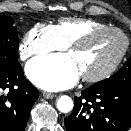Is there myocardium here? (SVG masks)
<instances>
[{
    "label": "myocardium",
    "instance_id": "f54148a6",
    "mask_svg": "<svg viewBox=\"0 0 131 131\" xmlns=\"http://www.w3.org/2000/svg\"><path fill=\"white\" fill-rule=\"evenodd\" d=\"M107 32H113V33L120 34L124 39V46H123L122 50L120 51V53L118 54V56L114 59V61L109 66H107L104 70H102L96 74H91V75H84L83 74V75H81V77L84 81L99 82V81L104 80L107 77H109L117 69V67L119 66V64L121 63L123 58L125 57L128 49H129L130 40H129L128 36L125 34V32H123L121 29H119L117 27L107 26V27H102V28L90 30V31L84 33L83 35L79 36L78 38H76L75 40H73L72 42H70L67 45V50H69V51L74 48L83 47L95 36H98L100 34L107 33Z\"/></svg>",
    "mask_w": 131,
    "mask_h": 131
}]
</instances>
